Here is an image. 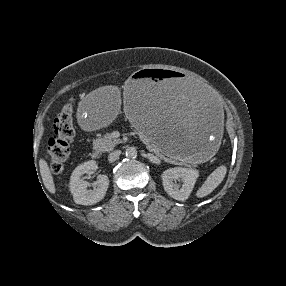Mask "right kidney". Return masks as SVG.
<instances>
[{"label":"right kidney","instance_id":"right-kidney-1","mask_svg":"<svg viewBox=\"0 0 286 286\" xmlns=\"http://www.w3.org/2000/svg\"><path fill=\"white\" fill-rule=\"evenodd\" d=\"M97 167L96 161L90 160L77 166L72 172L69 188L76 204L92 205L104 198L109 186L107 175H101L99 179L92 184L93 189L90 190L87 189L90 184L81 178L83 174L95 171Z\"/></svg>","mask_w":286,"mask_h":286}]
</instances>
